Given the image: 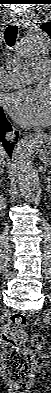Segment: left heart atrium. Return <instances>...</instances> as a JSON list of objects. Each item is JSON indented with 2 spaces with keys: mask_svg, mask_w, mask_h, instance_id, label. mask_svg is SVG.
<instances>
[{
  "mask_svg": "<svg viewBox=\"0 0 51 393\" xmlns=\"http://www.w3.org/2000/svg\"><path fill=\"white\" fill-rule=\"evenodd\" d=\"M9 114L26 126H47L51 121V97L43 89H23L6 100Z\"/></svg>",
  "mask_w": 51,
  "mask_h": 393,
  "instance_id": "1",
  "label": "left heart atrium"
}]
</instances>
